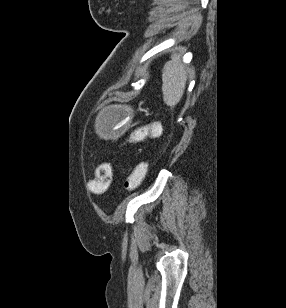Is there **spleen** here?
I'll return each instance as SVG.
<instances>
[{"instance_id":"obj_1","label":"spleen","mask_w":286,"mask_h":308,"mask_svg":"<svg viewBox=\"0 0 286 308\" xmlns=\"http://www.w3.org/2000/svg\"><path fill=\"white\" fill-rule=\"evenodd\" d=\"M162 81L163 100L168 106L175 107L183 96L187 81L185 67L180 64V56H171V61L164 67Z\"/></svg>"}]
</instances>
